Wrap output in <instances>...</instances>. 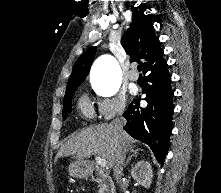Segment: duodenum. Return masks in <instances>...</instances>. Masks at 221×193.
I'll return each mask as SVG.
<instances>
[{"label": "duodenum", "mask_w": 221, "mask_h": 193, "mask_svg": "<svg viewBox=\"0 0 221 193\" xmlns=\"http://www.w3.org/2000/svg\"><path fill=\"white\" fill-rule=\"evenodd\" d=\"M81 168L92 180L100 183L104 193H115V185L112 178L95 163H85Z\"/></svg>", "instance_id": "1"}]
</instances>
